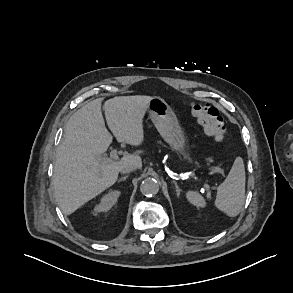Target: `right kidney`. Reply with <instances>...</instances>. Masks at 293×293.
<instances>
[{"instance_id": "obj_1", "label": "right kidney", "mask_w": 293, "mask_h": 293, "mask_svg": "<svg viewBox=\"0 0 293 293\" xmlns=\"http://www.w3.org/2000/svg\"><path fill=\"white\" fill-rule=\"evenodd\" d=\"M120 195L119 191H112L102 197L99 205L95 207L96 212H107L113 205L116 204L118 197Z\"/></svg>"}]
</instances>
